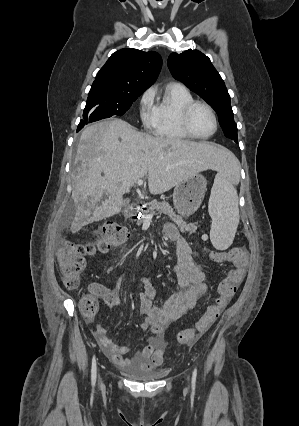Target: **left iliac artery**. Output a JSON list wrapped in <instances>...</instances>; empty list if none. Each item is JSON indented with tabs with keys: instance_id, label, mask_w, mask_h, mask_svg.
Segmentation results:
<instances>
[{
	"instance_id": "1",
	"label": "left iliac artery",
	"mask_w": 299,
	"mask_h": 426,
	"mask_svg": "<svg viewBox=\"0 0 299 426\" xmlns=\"http://www.w3.org/2000/svg\"><path fill=\"white\" fill-rule=\"evenodd\" d=\"M196 376H197V369L195 368L194 371H193V376H192V383L193 384H195Z\"/></svg>"
}]
</instances>
